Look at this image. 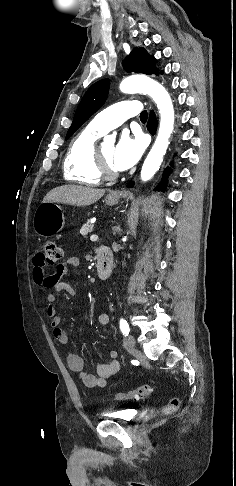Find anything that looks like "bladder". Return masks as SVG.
<instances>
[{"label":"bladder","instance_id":"1","mask_svg":"<svg viewBox=\"0 0 236 486\" xmlns=\"http://www.w3.org/2000/svg\"><path fill=\"white\" fill-rule=\"evenodd\" d=\"M107 419L116 420L120 422H131L136 416L133 410L123 409L119 411L109 412L103 414Z\"/></svg>","mask_w":236,"mask_h":486}]
</instances>
